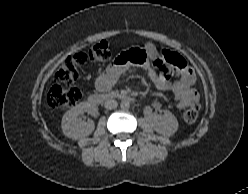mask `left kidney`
<instances>
[{
  "label": "left kidney",
  "mask_w": 248,
  "mask_h": 194,
  "mask_svg": "<svg viewBox=\"0 0 248 194\" xmlns=\"http://www.w3.org/2000/svg\"><path fill=\"white\" fill-rule=\"evenodd\" d=\"M152 127L157 133L170 137L177 131L178 121L171 112H166L163 117L154 118Z\"/></svg>",
  "instance_id": "1"
}]
</instances>
